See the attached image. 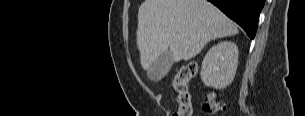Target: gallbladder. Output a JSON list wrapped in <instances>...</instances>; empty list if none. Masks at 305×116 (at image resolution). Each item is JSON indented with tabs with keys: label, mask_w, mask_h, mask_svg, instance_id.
Instances as JSON below:
<instances>
[{
	"label": "gallbladder",
	"mask_w": 305,
	"mask_h": 116,
	"mask_svg": "<svg viewBox=\"0 0 305 116\" xmlns=\"http://www.w3.org/2000/svg\"><path fill=\"white\" fill-rule=\"evenodd\" d=\"M173 64V56L169 50L162 53L148 68L147 76L153 82H158L169 72Z\"/></svg>",
	"instance_id": "1"
}]
</instances>
